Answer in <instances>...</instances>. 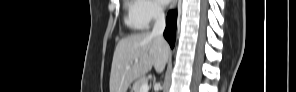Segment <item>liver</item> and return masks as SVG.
<instances>
[{"label": "liver", "mask_w": 296, "mask_h": 92, "mask_svg": "<svg viewBox=\"0 0 296 92\" xmlns=\"http://www.w3.org/2000/svg\"><path fill=\"white\" fill-rule=\"evenodd\" d=\"M169 53L170 47L162 36L141 32L122 38L113 55L110 92H127L131 83L149 72L152 66L161 73Z\"/></svg>", "instance_id": "6515ba94"}]
</instances>
